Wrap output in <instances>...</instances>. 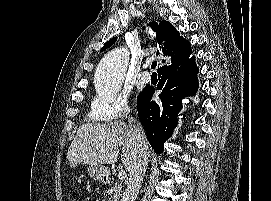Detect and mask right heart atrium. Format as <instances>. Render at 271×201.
<instances>
[{"label": "right heart atrium", "instance_id": "obj_1", "mask_svg": "<svg viewBox=\"0 0 271 201\" xmlns=\"http://www.w3.org/2000/svg\"><path fill=\"white\" fill-rule=\"evenodd\" d=\"M129 114L130 106L125 95L113 94L109 98L97 95L92 101L90 112L92 118L120 122Z\"/></svg>", "mask_w": 271, "mask_h": 201}]
</instances>
